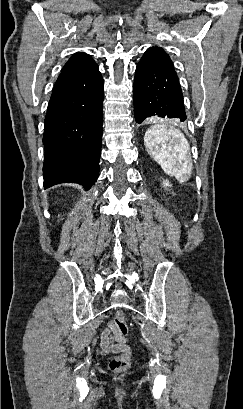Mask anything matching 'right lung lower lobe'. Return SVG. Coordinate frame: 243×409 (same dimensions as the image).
<instances>
[{"label":"right lung lower lobe","instance_id":"obj_1","mask_svg":"<svg viewBox=\"0 0 243 409\" xmlns=\"http://www.w3.org/2000/svg\"><path fill=\"white\" fill-rule=\"evenodd\" d=\"M104 81L98 65L78 74L61 73L45 117L44 187L98 178Z\"/></svg>","mask_w":243,"mask_h":409}]
</instances>
